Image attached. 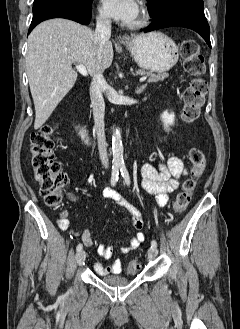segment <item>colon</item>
<instances>
[{
    "label": "colon",
    "mask_w": 240,
    "mask_h": 329,
    "mask_svg": "<svg viewBox=\"0 0 240 329\" xmlns=\"http://www.w3.org/2000/svg\"><path fill=\"white\" fill-rule=\"evenodd\" d=\"M181 55L185 70L194 77L182 94V118L186 123H194L200 116L207 94V83L202 78L205 71L204 58L199 44L192 39H187L181 44ZM54 133L55 123L49 122L32 134L30 166L46 205L58 209L63 206V193L68 185V177L61 164L53 157L56 144ZM188 158L191 163V177L183 183L181 191L176 196L173 204L176 213H182L188 208L195 180L206 167V156L201 149L192 148ZM138 269L139 265L135 260L128 263V273L135 274Z\"/></svg>",
    "instance_id": "5ec220e1"
}]
</instances>
